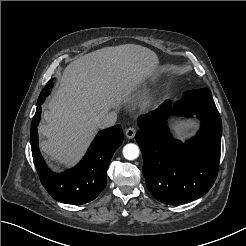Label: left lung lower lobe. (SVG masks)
<instances>
[{"label": "left lung lower lobe", "mask_w": 246, "mask_h": 246, "mask_svg": "<svg viewBox=\"0 0 246 246\" xmlns=\"http://www.w3.org/2000/svg\"><path fill=\"white\" fill-rule=\"evenodd\" d=\"M170 111L196 115L201 128L182 144L169 133L165 117ZM135 139L143 155V174L151 194L165 204L196 200L214 184L221 151L222 123L208 88L190 90L171 107L166 100L138 119Z\"/></svg>", "instance_id": "left-lung-lower-lobe-1"}]
</instances>
